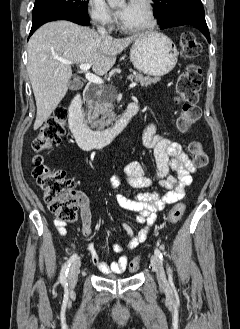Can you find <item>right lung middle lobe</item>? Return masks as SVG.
I'll use <instances>...</instances> for the list:
<instances>
[{
    "mask_svg": "<svg viewBox=\"0 0 240 329\" xmlns=\"http://www.w3.org/2000/svg\"><path fill=\"white\" fill-rule=\"evenodd\" d=\"M88 0H36L32 16L38 13H58L89 19Z\"/></svg>",
    "mask_w": 240,
    "mask_h": 329,
    "instance_id": "dd1d6c3e",
    "label": "right lung middle lobe"
}]
</instances>
